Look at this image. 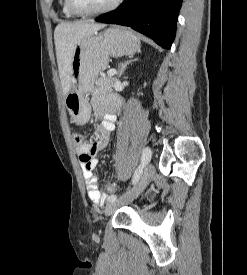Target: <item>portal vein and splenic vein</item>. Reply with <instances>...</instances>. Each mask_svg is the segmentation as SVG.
<instances>
[{
    "label": "portal vein and splenic vein",
    "mask_w": 247,
    "mask_h": 275,
    "mask_svg": "<svg viewBox=\"0 0 247 275\" xmlns=\"http://www.w3.org/2000/svg\"><path fill=\"white\" fill-rule=\"evenodd\" d=\"M117 74V71L116 70H114V69H110V70H108L107 71V75L108 76H114V75H116Z\"/></svg>",
    "instance_id": "1"
}]
</instances>
